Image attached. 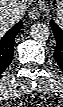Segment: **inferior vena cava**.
<instances>
[{
    "label": "inferior vena cava",
    "instance_id": "obj_1",
    "mask_svg": "<svg viewBox=\"0 0 63 107\" xmlns=\"http://www.w3.org/2000/svg\"><path fill=\"white\" fill-rule=\"evenodd\" d=\"M23 15H24L23 11L19 8H16L9 15V21L12 24H15Z\"/></svg>",
    "mask_w": 63,
    "mask_h": 107
}]
</instances>
